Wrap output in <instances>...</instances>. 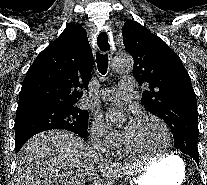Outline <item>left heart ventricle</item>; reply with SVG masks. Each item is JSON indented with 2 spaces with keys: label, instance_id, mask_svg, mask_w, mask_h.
Segmentation results:
<instances>
[{
  "label": "left heart ventricle",
  "instance_id": "left-heart-ventricle-1",
  "mask_svg": "<svg viewBox=\"0 0 207 185\" xmlns=\"http://www.w3.org/2000/svg\"><path fill=\"white\" fill-rule=\"evenodd\" d=\"M125 134L135 150L158 153L166 147V138L162 127L153 120L139 119L133 126L127 127Z\"/></svg>",
  "mask_w": 207,
  "mask_h": 185
}]
</instances>
